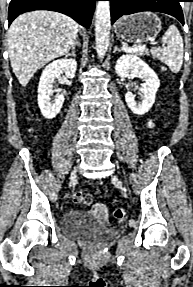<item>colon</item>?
Returning <instances> with one entry per match:
<instances>
[{
	"label": "colon",
	"mask_w": 193,
	"mask_h": 287,
	"mask_svg": "<svg viewBox=\"0 0 193 287\" xmlns=\"http://www.w3.org/2000/svg\"><path fill=\"white\" fill-rule=\"evenodd\" d=\"M93 201L92 195L86 194L83 192H75L73 194V202L76 204H85V205H90ZM114 217L116 219H123L125 217V212L122 208H117L114 210Z\"/></svg>",
	"instance_id": "obj_1"
}]
</instances>
